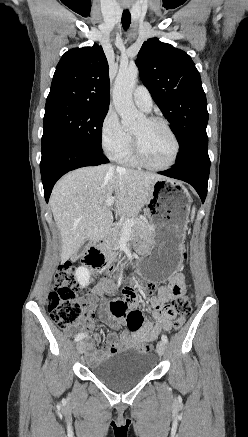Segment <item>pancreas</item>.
<instances>
[{
    "label": "pancreas",
    "instance_id": "pancreas-1",
    "mask_svg": "<svg viewBox=\"0 0 248 437\" xmlns=\"http://www.w3.org/2000/svg\"><path fill=\"white\" fill-rule=\"evenodd\" d=\"M135 219L137 222L132 226L133 232H137L141 236L148 239V237L150 236L149 223L143 218H135ZM123 230H124L123 223L117 224L113 229V232L109 236L108 240L104 244L106 251L108 253V258L110 260H115L116 258V253L114 251L118 247V243L121 238Z\"/></svg>",
    "mask_w": 248,
    "mask_h": 437
}]
</instances>
